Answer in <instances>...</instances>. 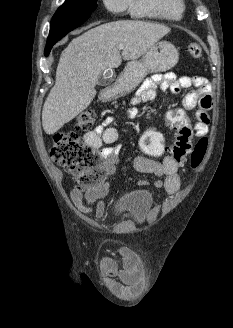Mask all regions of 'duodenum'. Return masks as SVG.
Returning a JSON list of instances; mask_svg holds the SVG:
<instances>
[{"instance_id": "obj_1", "label": "duodenum", "mask_w": 233, "mask_h": 328, "mask_svg": "<svg viewBox=\"0 0 233 328\" xmlns=\"http://www.w3.org/2000/svg\"><path fill=\"white\" fill-rule=\"evenodd\" d=\"M112 91L110 89H107L104 93L105 98H109L112 95Z\"/></svg>"}]
</instances>
